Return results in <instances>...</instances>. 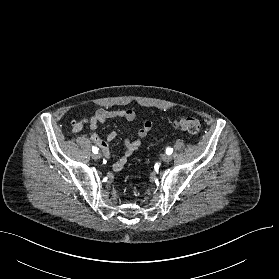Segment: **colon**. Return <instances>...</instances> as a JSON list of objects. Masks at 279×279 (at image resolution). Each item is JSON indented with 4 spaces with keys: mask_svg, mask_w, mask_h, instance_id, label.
<instances>
[{
    "mask_svg": "<svg viewBox=\"0 0 279 279\" xmlns=\"http://www.w3.org/2000/svg\"><path fill=\"white\" fill-rule=\"evenodd\" d=\"M172 125L175 129L190 134L199 133L202 127L201 121L191 116L182 117L181 119L174 121Z\"/></svg>",
    "mask_w": 279,
    "mask_h": 279,
    "instance_id": "obj_1",
    "label": "colon"
}]
</instances>
